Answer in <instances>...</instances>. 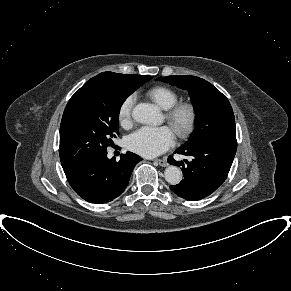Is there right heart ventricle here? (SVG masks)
<instances>
[{
	"instance_id": "obj_1",
	"label": "right heart ventricle",
	"mask_w": 291,
	"mask_h": 291,
	"mask_svg": "<svg viewBox=\"0 0 291 291\" xmlns=\"http://www.w3.org/2000/svg\"><path fill=\"white\" fill-rule=\"evenodd\" d=\"M146 95L161 109L168 110L174 106L179 99L178 93L167 86H155L149 89Z\"/></svg>"
}]
</instances>
